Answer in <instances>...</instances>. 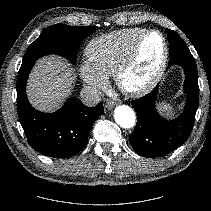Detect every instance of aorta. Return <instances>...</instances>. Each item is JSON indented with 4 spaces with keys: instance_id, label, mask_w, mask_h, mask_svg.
Masks as SVG:
<instances>
[{
    "instance_id": "1",
    "label": "aorta",
    "mask_w": 211,
    "mask_h": 211,
    "mask_svg": "<svg viewBox=\"0 0 211 211\" xmlns=\"http://www.w3.org/2000/svg\"><path fill=\"white\" fill-rule=\"evenodd\" d=\"M116 123L122 128H132L136 123V115L127 105H119L114 110Z\"/></svg>"
}]
</instances>
